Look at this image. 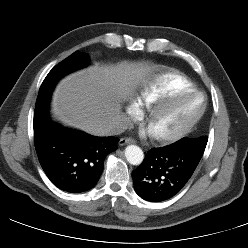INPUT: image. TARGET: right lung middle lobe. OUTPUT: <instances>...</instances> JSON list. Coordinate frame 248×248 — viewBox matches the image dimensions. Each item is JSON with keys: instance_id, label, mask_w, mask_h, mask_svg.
Here are the masks:
<instances>
[{"instance_id": "1", "label": "right lung middle lobe", "mask_w": 248, "mask_h": 248, "mask_svg": "<svg viewBox=\"0 0 248 248\" xmlns=\"http://www.w3.org/2000/svg\"><path fill=\"white\" fill-rule=\"evenodd\" d=\"M86 65L83 53L76 51L68 58L56 65L44 79L39 92L52 91L56 83L66 74H69Z\"/></svg>"}]
</instances>
